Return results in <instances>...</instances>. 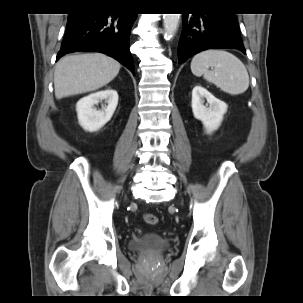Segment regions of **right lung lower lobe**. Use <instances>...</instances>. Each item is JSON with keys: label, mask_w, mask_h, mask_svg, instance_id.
<instances>
[{"label": "right lung lower lobe", "mask_w": 303, "mask_h": 303, "mask_svg": "<svg viewBox=\"0 0 303 303\" xmlns=\"http://www.w3.org/2000/svg\"><path fill=\"white\" fill-rule=\"evenodd\" d=\"M136 17V13L109 14L89 8L69 14L56 61L68 53L95 51L115 58L135 74L129 40Z\"/></svg>", "instance_id": "right-lung-lower-lobe-1"}]
</instances>
